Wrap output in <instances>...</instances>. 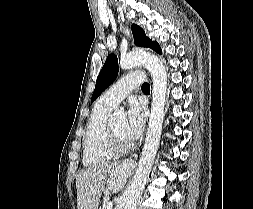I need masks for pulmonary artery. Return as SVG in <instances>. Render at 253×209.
I'll return each mask as SVG.
<instances>
[{
    "label": "pulmonary artery",
    "mask_w": 253,
    "mask_h": 209,
    "mask_svg": "<svg viewBox=\"0 0 253 209\" xmlns=\"http://www.w3.org/2000/svg\"><path fill=\"white\" fill-rule=\"evenodd\" d=\"M145 81V75L141 71H132L121 78L112 87H110L102 96L101 100L115 107L118 105L133 89L142 85Z\"/></svg>",
    "instance_id": "pulmonary-artery-1"
}]
</instances>
